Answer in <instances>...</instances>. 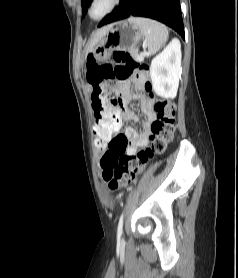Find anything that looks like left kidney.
<instances>
[{
  "label": "left kidney",
  "instance_id": "left-kidney-1",
  "mask_svg": "<svg viewBox=\"0 0 238 278\" xmlns=\"http://www.w3.org/2000/svg\"><path fill=\"white\" fill-rule=\"evenodd\" d=\"M181 74V45L171 41L151 62L150 76L155 93L163 98H175Z\"/></svg>",
  "mask_w": 238,
  "mask_h": 278
}]
</instances>
